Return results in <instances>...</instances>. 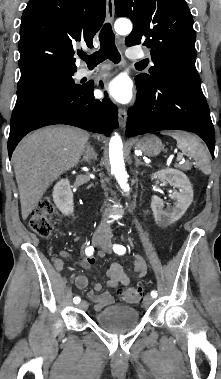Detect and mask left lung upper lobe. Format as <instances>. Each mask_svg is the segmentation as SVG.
Here are the masks:
<instances>
[{
    "instance_id": "left-lung-upper-lobe-1",
    "label": "left lung upper lobe",
    "mask_w": 221,
    "mask_h": 379,
    "mask_svg": "<svg viewBox=\"0 0 221 379\" xmlns=\"http://www.w3.org/2000/svg\"><path fill=\"white\" fill-rule=\"evenodd\" d=\"M116 14L133 22L127 46L140 44L151 49L154 66L150 74H139L137 83L147 84L155 75L200 84L195 67L196 34L185 0H115Z\"/></svg>"
}]
</instances>
